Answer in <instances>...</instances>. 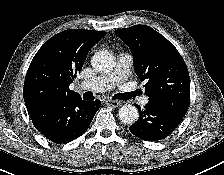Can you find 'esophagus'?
Listing matches in <instances>:
<instances>
[{
  "instance_id": "esophagus-1",
  "label": "esophagus",
  "mask_w": 224,
  "mask_h": 175,
  "mask_svg": "<svg viewBox=\"0 0 224 175\" xmlns=\"http://www.w3.org/2000/svg\"><path fill=\"white\" fill-rule=\"evenodd\" d=\"M106 104L111 107L117 108L118 106H120L121 103L117 100L107 99Z\"/></svg>"
}]
</instances>
